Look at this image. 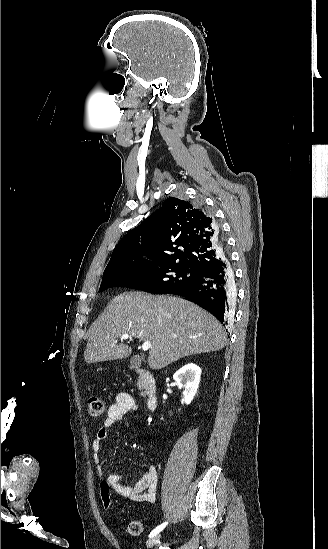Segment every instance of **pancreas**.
<instances>
[{
	"label": "pancreas",
	"instance_id": "pancreas-1",
	"mask_svg": "<svg viewBox=\"0 0 328 549\" xmlns=\"http://www.w3.org/2000/svg\"><path fill=\"white\" fill-rule=\"evenodd\" d=\"M137 387L139 391H142V393H145V383H143V379H138Z\"/></svg>",
	"mask_w": 328,
	"mask_h": 549
}]
</instances>
